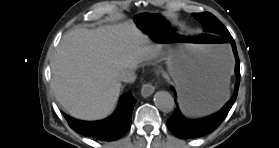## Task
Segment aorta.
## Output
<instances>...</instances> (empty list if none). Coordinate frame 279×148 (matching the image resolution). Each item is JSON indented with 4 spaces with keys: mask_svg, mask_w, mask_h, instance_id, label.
<instances>
[{
    "mask_svg": "<svg viewBox=\"0 0 279 148\" xmlns=\"http://www.w3.org/2000/svg\"><path fill=\"white\" fill-rule=\"evenodd\" d=\"M154 103L156 107L163 112L171 111L175 104L174 98L167 91L156 92L154 95Z\"/></svg>",
    "mask_w": 279,
    "mask_h": 148,
    "instance_id": "1",
    "label": "aorta"
}]
</instances>
